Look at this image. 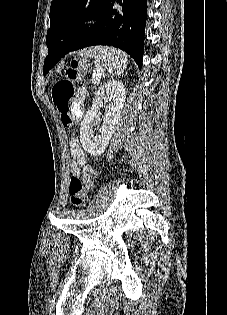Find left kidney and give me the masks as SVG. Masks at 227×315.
I'll return each mask as SVG.
<instances>
[{
  "mask_svg": "<svg viewBox=\"0 0 227 315\" xmlns=\"http://www.w3.org/2000/svg\"><path fill=\"white\" fill-rule=\"evenodd\" d=\"M125 98L126 92L123 83L115 80L107 82L96 93L93 104L86 112L80 127L82 147L90 155L99 156L105 150L114 133L115 125L120 119ZM100 108H105L103 125L99 130V135L94 136L90 130Z\"/></svg>",
  "mask_w": 227,
  "mask_h": 315,
  "instance_id": "5707ae66",
  "label": "left kidney"
}]
</instances>
